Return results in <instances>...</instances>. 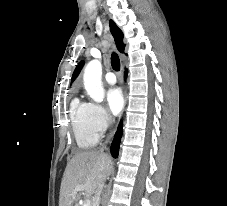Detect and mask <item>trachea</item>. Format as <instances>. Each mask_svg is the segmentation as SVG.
Returning <instances> with one entry per match:
<instances>
[{
	"label": "trachea",
	"instance_id": "3493384b",
	"mask_svg": "<svg viewBox=\"0 0 227 206\" xmlns=\"http://www.w3.org/2000/svg\"><path fill=\"white\" fill-rule=\"evenodd\" d=\"M111 66L115 71L120 70V60L116 53H112L111 55Z\"/></svg>",
	"mask_w": 227,
	"mask_h": 206
}]
</instances>
